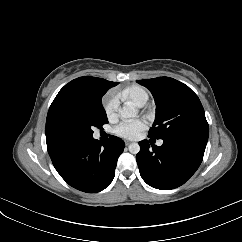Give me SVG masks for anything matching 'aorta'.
I'll return each instance as SVG.
<instances>
[{"mask_svg": "<svg viewBox=\"0 0 242 242\" xmlns=\"http://www.w3.org/2000/svg\"><path fill=\"white\" fill-rule=\"evenodd\" d=\"M119 113L122 118L129 119L136 117L138 114V110L133 105L126 104L120 109ZM128 149L130 153L137 154L140 151V145L138 143H131Z\"/></svg>", "mask_w": 242, "mask_h": 242, "instance_id": "1", "label": "aorta"}]
</instances>
